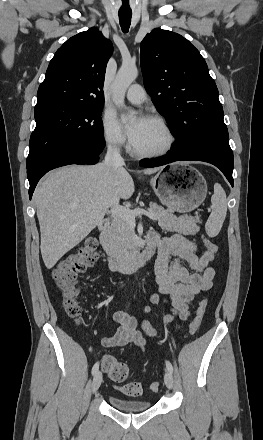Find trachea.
Listing matches in <instances>:
<instances>
[{"label": "trachea", "instance_id": "obj_1", "mask_svg": "<svg viewBox=\"0 0 263 440\" xmlns=\"http://www.w3.org/2000/svg\"><path fill=\"white\" fill-rule=\"evenodd\" d=\"M131 17H132V12H119V21H120V26L122 28V31L124 33H127L130 27V23H131Z\"/></svg>", "mask_w": 263, "mask_h": 440}]
</instances>
